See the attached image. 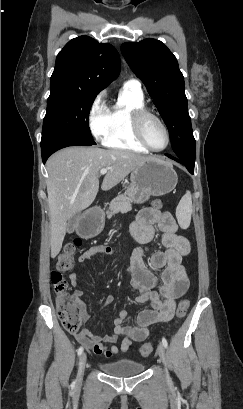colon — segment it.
I'll use <instances>...</instances> for the list:
<instances>
[{
    "mask_svg": "<svg viewBox=\"0 0 243 409\" xmlns=\"http://www.w3.org/2000/svg\"><path fill=\"white\" fill-rule=\"evenodd\" d=\"M163 206L160 200H155L152 207L155 210ZM82 240L77 238L74 243L66 245L58 256L57 268L51 274V281L56 293V309L63 328L68 333H77L82 323V313L79 303L67 294L68 284L62 276V272H69L74 267V253L76 248L81 246ZM189 301H180L177 310L175 323L180 322L187 314ZM152 352V346L146 344L142 346L140 353L143 357H148Z\"/></svg>",
    "mask_w": 243,
    "mask_h": 409,
    "instance_id": "colon-1",
    "label": "colon"
}]
</instances>
